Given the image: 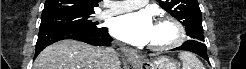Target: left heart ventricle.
Returning <instances> with one entry per match:
<instances>
[{"label":"left heart ventricle","mask_w":246,"mask_h":69,"mask_svg":"<svg viewBox=\"0 0 246 69\" xmlns=\"http://www.w3.org/2000/svg\"><path fill=\"white\" fill-rule=\"evenodd\" d=\"M175 34L172 27L167 23H156L150 44H163L171 41Z\"/></svg>","instance_id":"obj_1"}]
</instances>
